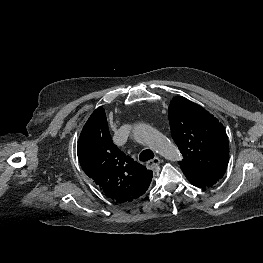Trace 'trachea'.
Masks as SVG:
<instances>
[{
	"mask_svg": "<svg viewBox=\"0 0 263 263\" xmlns=\"http://www.w3.org/2000/svg\"><path fill=\"white\" fill-rule=\"evenodd\" d=\"M152 158H154V153L149 149L143 150L139 156V160L143 162L148 161Z\"/></svg>",
	"mask_w": 263,
	"mask_h": 263,
	"instance_id": "3493384b",
	"label": "trachea"
}]
</instances>
